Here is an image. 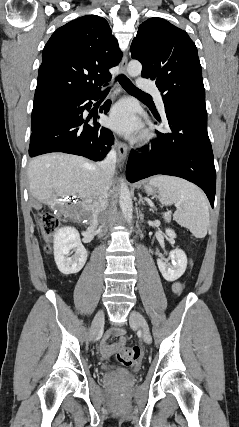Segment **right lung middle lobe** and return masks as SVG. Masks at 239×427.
Returning a JSON list of instances; mask_svg holds the SVG:
<instances>
[{
  "label": "right lung middle lobe",
  "instance_id": "right-lung-middle-lobe-1",
  "mask_svg": "<svg viewBox=\"0 0 239 427\" xmlns=\"http://www.w3.org/2000/svg\"><path fill=\"white\" fill-rule=\"evenodd\" d=\"M60 96L48 97L43 99L34 100L32 117H31V127L33 128L43 114L50 111L54 106L57 105Z\"/></svg>",
  "mask_w": 239,
  "mask_h": 427
}]
</instances>
